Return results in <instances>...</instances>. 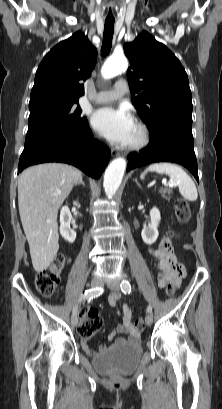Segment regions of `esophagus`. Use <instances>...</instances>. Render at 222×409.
Wrapping results in <instances>:
<instances>
[{"instance_id":"34e87169","label":"esophagus","mask_w":222,"mask_h":409,"mask_svg":"<svg viewBox=\"0 0 222 409\" xmlns=\"http://www.w3.org/2000/svg\"><path fill=\"white\" fill-rule=\"evenodd\" d=\"M111 154H112V155H116V154H118V152H117L115 149H112V150H111Z\"/></svg>"}]
</instances>
